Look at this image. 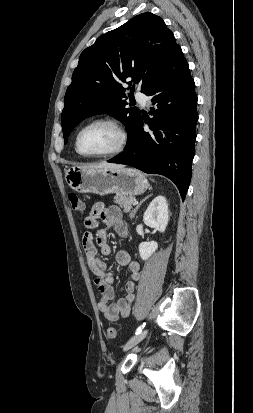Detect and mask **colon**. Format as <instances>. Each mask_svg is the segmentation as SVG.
<instances>
[{
	"label": "colon",
	"mask_w": 253,
	"mask_h": 413,
	"mask_svg": "<svg viewBox=\"0 0 253 413\" xmlns=\"http://www.w3.org/2000/svg\"><path fill=\"white\" fill-rule=\"evenodd\" d=\"M68 201L73 211L81 212L84 210V203L75 193L71 192L68 194ZM107 336L109 339H114L116 337L115 328H109L107 330Z\"/></svg>",
	"instance_id": "obj_1"
}]
</instances>
